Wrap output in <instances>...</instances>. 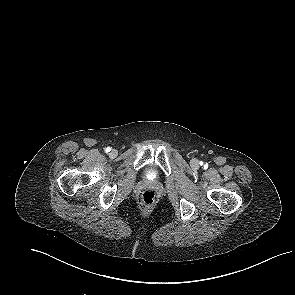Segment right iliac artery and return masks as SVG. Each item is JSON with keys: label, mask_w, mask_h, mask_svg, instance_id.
I'll list each match as a JSON object with an SVG mask.
<instances>
[{"label": "right iliac artery", "mask_w": 295, "mask_h": 295, "mask_svg": "<svg viewBox=\"0 0 295 295\" xmlns=\"http://www.w3.org/2000/svg\"><path fill=\"white\" fill-rule=\"evenodd\" d=\"M105 151H106V152H110V151H111V148H110V147H107V148L105 149Z\"/></svg>", "instance_id": "1"}]
</instances>
